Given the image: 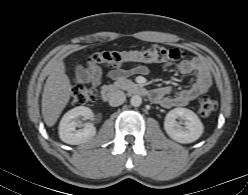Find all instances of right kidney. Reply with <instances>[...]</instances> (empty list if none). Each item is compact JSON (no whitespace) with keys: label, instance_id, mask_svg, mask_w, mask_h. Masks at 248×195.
Wrapping results in <instances>:
<instances>
[{"label":"right kidney","instance_id":"ca27d5eb","mask_svg":"<svg viewBox=\"0 0 248 195\" xmlns=\"http://www.w3.org/2000/svg\"><path fill=\"white\" fill-rule=\"evenodd\" d=\"M92 116V110L85 106L75 107L65 113L59 124L60 139L70 145H79L93 138L96 134L93 124L88 123L84 128L77 130L82 126L78 118L89 119Z\"/></svg>","mask_w":248,"mask_h":195}]
</instances>
